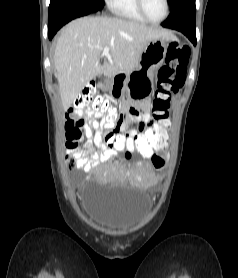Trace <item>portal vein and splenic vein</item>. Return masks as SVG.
I'll return each instance as SVG.
<instances>
[{"label":"portal vein and splenic vein","instance_id":"obj_1","mask_svg":"<svg viewBox=\"0 0 238 278\" xmlns=\"http://www.w3.org/2000/svg\"><path fill=\"white\" fill-rule=\"evenodd\" d=\"M109 51H110V49H109V47H105L104 49H103V53H102V55H104V56H106V57H109Z\"/></svg>","mask_w":238,"mask_h":278}]
</instances>
